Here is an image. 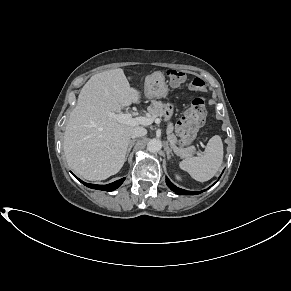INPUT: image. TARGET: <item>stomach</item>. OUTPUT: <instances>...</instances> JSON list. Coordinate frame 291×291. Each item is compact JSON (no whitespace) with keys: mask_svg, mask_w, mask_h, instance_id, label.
Wrapping results in <instances>:
<instances>
[{"mask_svg":"<svg viewBox=\"0 0 291 291\" xmlns=\"http://www.w3.org/2000/svg\"><path fill=\"white\" fill-rule=\"evenodd\" d=\"M168 85L161 72H154L145 78L144 94L147 98H161L168 95Z\"/></svg>","mask_w":291,"mask_h":291,"instance_id":"stomach-1","label":"stomach"}]
</instances>
